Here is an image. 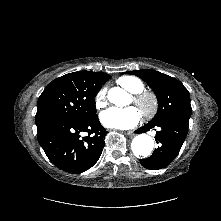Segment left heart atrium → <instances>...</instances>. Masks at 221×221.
I'll use <instances>...</instances> for the list:
<instances>
[{
  "label": "left heart atrium",
  "mask_w": 221,
  "mask_h": 221,
  "mask_svg": "<svg viewBox=\"0 0 221 221\" xmlns=\"http://www.w3.org/2000/svg\"><path fill=\"white\" fill-rule=\"evenodd\" d=\"M140 111L135 107L109 108L101 113L100 121L103 126L112 129H129L139 123Z\"/></svg>",
  "instance_id": "obj_1"
}]
</instances>
